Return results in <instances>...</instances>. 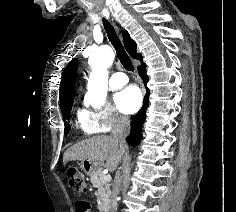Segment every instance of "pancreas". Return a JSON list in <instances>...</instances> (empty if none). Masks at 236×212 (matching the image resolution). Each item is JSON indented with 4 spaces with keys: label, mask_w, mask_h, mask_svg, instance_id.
I'll return each instance as SVG.
<instances>
[{
    "label": "pancreas",
    "mask_w": 236,
    "mask_h": 212,
    "mask_svg": "<svg viewBox=\"0 0 236 212\" xmlns=\"http://www.w3.org/2000/svg\"><path fill=\"white\" fill-rule=\"evenodd\" d=\"M90 180L92 185L98 189L96 193L98 201V209L100 211H106L110 203L109 180H104L103 176L101 175V171L92 174Z\"/></svg>",
    "instance_id": "obj_1"
}]
</instances>
